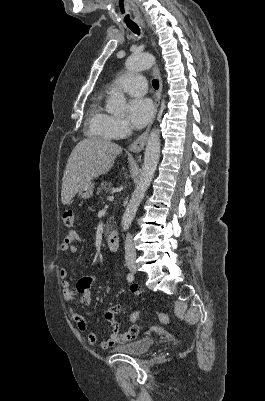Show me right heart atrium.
Here are the masks:
<instances>
[{
	"label": "right heart atrium",
	"instance_id": "1",
	"mask_svg": "<svg viewBox=\"0 0 265 401\" xmlns=\"http://www.w3.org/2000/svg\"><path fill=\"white\" fill-rule=\"evenodd\" d=\"M111 129L114 135L118 138L126 137L131 132L130 126L126 121L117 119L112 120Z\"/></svg>",
	"mask_w": 265,
	"mask_h": 401
}]
</instances>
